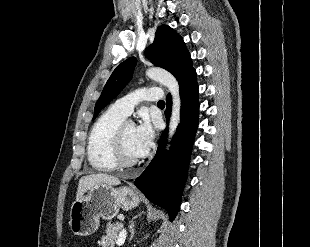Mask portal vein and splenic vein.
Instances as JSON below:
<instances>
[{
  "instance_id": "portal-vein-and-splenic-vein-1",
  "label": "portal vein and splenic vein",
  "mask_w": 310,
  "mask_h": 247,
  "mask_svg": "<svg viewBox=\"0 0 310 247\" xmlns=\"http://www.w3.org/2000/svg\"><path fill=\"white\" fill-rule=\"evenodd\" d=\"M125 240H126V230H122V231L120 232V234H119V237H118V239H117V241H116V244H117L118 246H121V245L124 244Z\"/></svg>"
}]
</instances>
